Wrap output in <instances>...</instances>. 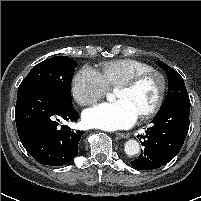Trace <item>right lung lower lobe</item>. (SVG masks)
I'll return each mask as SVG.
<instances>
[{
	"instance_id": "obj_1",
	"label": "right lung lower lobe",
	"mask_w": 201,
	"mask_h": 201,
	"mask_svg": "<svg viewBox=\"0 0 201 201\" xmlns=\"http://www.w3.org/2000/svg\"><path fill=\"white\" fill-rule=\"evenodd\" d=\"M78 119L72 104L52 91L35 88L17 95L15 121L20 141L41 164L62 166L78 154L84 132L59 124Z\"/></svg>"
}]
</instances>
